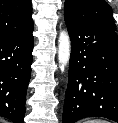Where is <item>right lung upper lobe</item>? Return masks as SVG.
Wrapping results in <instances>:
<instances>
[{
    "instance_id": "cb5924a9",
    "label": "right lung upper lobe",
    "mask_w": 118,
    "mask_h": 123,
    "mask_svg": "<svg viewBox=\"0 0 118 123\" xmlns=\"http://www.w3.org/2000/svg\"><path fill=\"white\" fill-rule=\"evenodd\" d=\"M32 27L30 0H0V39L22 34Z\"/></svg>"
}]
</instances>
